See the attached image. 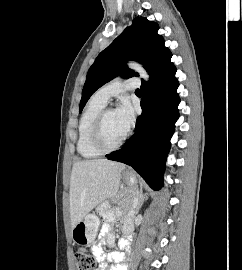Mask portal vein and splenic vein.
I'll return each instance as SVG.
<instances>
[{"instance_id":"1","label":"portal vein and splenic vein","mask_w":242,"mask_h":270,"mask_svg":"<svg viewBox=\"0 0 242 270\" xmlns=\"http://www.w3.org/2000/svg\"><path fill=\"white\" fill-rule=\"evenodd\" d=\"M136 205H137V198H135V200H134V205H133V208H135V207H136Z\"/></svg>"}]
</instances>
